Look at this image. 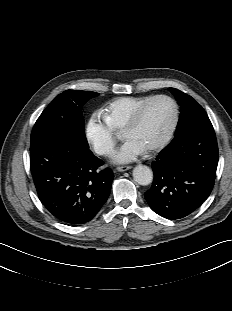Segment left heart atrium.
Masks as SVG:
<instances>
[{
    "label": "left heart atrium",
    "mask_w": 232,
    "mask_h": 311,
    "mask_svg": "<svg viewBox=\"0 0 232 311\" xmlns=\"http://www.w3.org/2000/svg\"><path fill=\"white\" fill-rule=\"evenodd\" d=\"M145 148L135 140H127L126 143L118 150L114 156V161L127 163L134 161L138 156L143 154Z\"/></svg>",
    "instance_id": "1"
}]
</instances>
